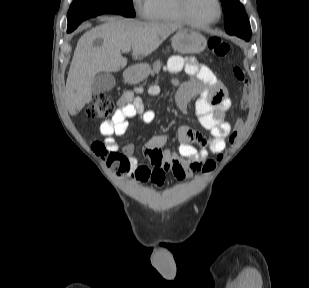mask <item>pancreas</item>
Segmentation results:
<instances>
[{
  "instance_id": "1",
  "label": "pancreas",
  "mask_w": 309,
  "mask_h": 288,
  "mask_svg": "<svg viewBox=\"0 0 309 288\" xmlns=\"http://www.w3.org/2000/svg\"><path fill=\"white\" fill-rule=\"evenodd\" d=\"M161 68V62L160 60H157L153 63V70L151 71V75L154 76L155 73H158V71Z\"/></svg>"
}]
</instances>
